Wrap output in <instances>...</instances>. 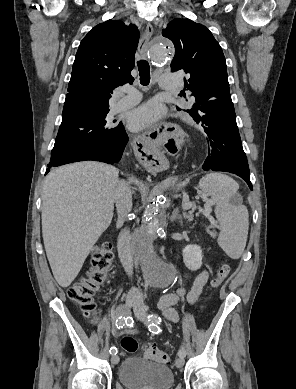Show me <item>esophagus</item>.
Wrapping results in <instances>:
<instances>
[{
    "label": "esophagus",
    "mask_w": 296,
    "mask_h": 389,
    "mask_svg": "<svg viewBox=\"0 0 296 389\" xmlns=\"http://www.w3.org/2000/svg\"><path fill=\"white\" fill-rule=\"evenodd\" d=\"M153 34V26L148 23L139 41L137 57L146 58L149 40ZM181 128V121L178 118H168L160 126H151L147 131L132 137V146L136 148L138 161L143 169H165L167 167L166 157L155 146V139H171L175 131Z\"/></svg>",
    "instance_id": "obj_1"
}]
</instances>
